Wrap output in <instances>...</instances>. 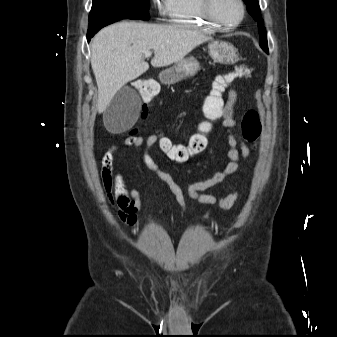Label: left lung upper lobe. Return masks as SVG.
Returning <instances> with one entry per match:
<instances>
[{"instance_id":"1","label":"left lung upper lobe","mask_w":337,"mask_h":337,"mask_svg":"<svg viewBox=\"0 0 337 337\" xmlns=\"http://www.w3.org/2000/svg\"><path fill=\"white\" fill-rule=\"evenodd\" d=\"M247 5L248 12L252 17L258 21L259 33H260V46L261 48L268 53V44H267V35L265 27L263 26V19L260 14V7L258 0H243Z\"/></svg>"}]
</instances>
